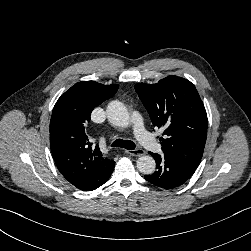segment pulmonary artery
Instances as JSON below:
<instances>
[{"label": "pulmonary artery", "mask_w": 251, "mask_h": 251, "mask_svg": "<svg viewBox=\"0 0 251 251\" xmlns=\"http://www.w3.org/2000/svg\"><path fill=\"white\" fill-rule=\"evenodd\" d=\"M131 122L134 134L139 142L151 152L160 153L162 151V146L145 130L141 115L139 113H134L131 117Z\"/></svg>", "instance_id": "obj_1"}]
</instances>
